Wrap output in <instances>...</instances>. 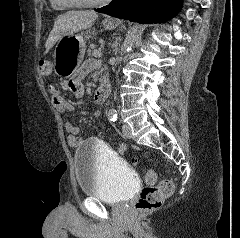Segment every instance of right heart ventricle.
Segmentation results:
<instances>
[{
  "label": "right heart ventricle",
  "mask_w": 240,
  "mask_h": 238,
  "mask_svg": "<svg viewBox=\"0 0 240 238\" xmlns=\"http://www.w3.org/2000/svg\"><path fill=\"white\" fill-rule=\"evenodd\" d=\"M52 5L61 7H72L68 4V0H50Z\"/></svg>",
  "instance_id": "e07e8e85"
}]
</instances>
